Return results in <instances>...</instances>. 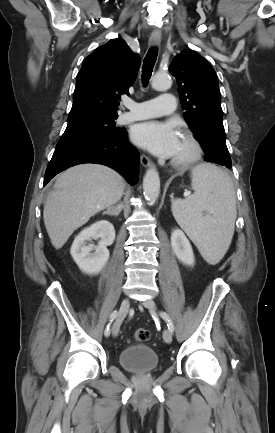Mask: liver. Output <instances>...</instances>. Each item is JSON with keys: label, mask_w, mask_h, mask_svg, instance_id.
<instances>
[{"label": "liver", "mask_w": 275, "mask_h": 433, "mask_svg": "<svg viewBox=\"0 0 275 433\" xmlns=\"http://www.w3.org/2000/svg\"><path fill=\"white\" fill-rule=\"evenodd\" d=\"M125 181L113 169L80 164L59 175L44 205V224L52 245L60 249L75 230L118 202Z\"/></svg>", "instance_id": "liver-1"}]
</instances>
